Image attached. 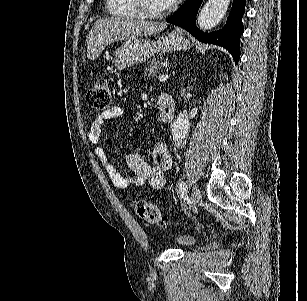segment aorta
<instances>
[{
    "instance_id": "obj_1",
    "label": "aorta",
    "mask_w": 307,
    "mask_h": 301,
    "mask_svg": "<svg viewBox=\"0 0 307 301\" xmlns=\"http://www.w3.org/2000/svg\"><path fill=\"white\" fill-rule=\"evenodd\" d=\"M229 2L230 0H208L198 16L199 28L201 30H209V28L216 26L222 20L224 14H226ZM189 120V112L184 108L171 124L173 140H176L178 144L186 142L189 134Z\"/></svg>"
}]
</instances>
